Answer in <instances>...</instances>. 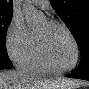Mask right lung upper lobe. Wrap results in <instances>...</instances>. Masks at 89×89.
Returning <instances> with one entry per match:
<instances>
[{
	"label": "right lung upper lobe",
	"mask_w": 89,
	"mask_h": 89,
	"mask_svg": "<svg viewBox=\"0 0 89 89\" xmlns=\"http://www.w3.org/2000/svg\"><path fill=\"white\" fill-rule=\"evenodd\" d=\"M0 7L5 10H12V0H0Z\"/></svg>",
	"instance_id": "cb5924a9"
}]
</instances>
